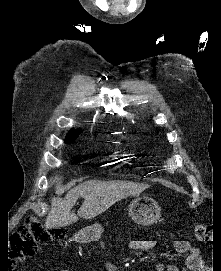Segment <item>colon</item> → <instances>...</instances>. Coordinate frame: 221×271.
<instances>
[{"label": "colon", "instance_id": "1", "mask_svg": "<svg viewBox=\"0 0 221 271\" xmlns=\"http://www.w3.org/2000/svg\"><path fill=\"white\" fill-rule=\"evenodd\" d=\"M24 226H19L12 234L9 247V256L15 262H23L32 256L39 244L57 240L65 235L63 227H42L34 214L25 217ZM196 237L200 242H210L212 235L209 227L202 223L196 227Z\"/></svg>", "mask_w": 221, "mask_h": 271}]
</instances>
